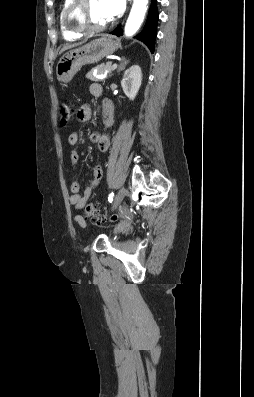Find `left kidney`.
Returning a JSON list of instances; mask_svg holds the SVG:
<instances>
[{
  "instance_id": "obj_1",
  "label": "left kidney",
  "mask_w": 254,
  "mask_h": 397,
  "mask_svg": "<svg viewBox=\"0 0 254 397\" xmlns=\"http://www.w3.org/2000/svg\"><path fill=\"white\" fill-rule=\"evenodd\" d=\"M142 83V72L138 65H132L123 75L121 85L125 95L134 100Z\"/></svg>"
}]
</instances>
